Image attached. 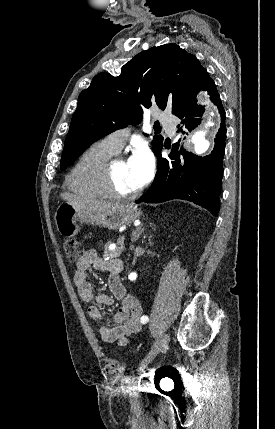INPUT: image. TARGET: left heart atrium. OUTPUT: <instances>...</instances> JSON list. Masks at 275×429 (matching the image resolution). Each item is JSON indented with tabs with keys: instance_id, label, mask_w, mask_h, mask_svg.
<instances>
[{
	"instance_id": "39dd6f15",
	"label": "left heart atrium",
	"mask_w": 275,
	"mask_h": 429,
	"mask_svg": "<svg viewBox=\"0 0 275 429\" xmlns=\"http://www.w3.org/2000/svg\"><path fill=\"white\" fill-rule=\"evenodd\" d=\"M127 165L135 186L141 188L149 180L153 169V158L148 147L144 144L136 146Z\"/></svg>"
}]
</instances>
